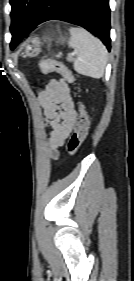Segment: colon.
<instances>
[{"instance_id": "obj_1", "label": "colon", "mask_w": 134, "mask_h": 281, "mask_svg": "<svg viewBox=\"0 0 134 281\" xmlns=\"http://www.w3.org/2000/svg\"><path fill=\"white\" fill-rule=\"evenodd\" d=\"M40 70L43 74L58 73L67 82L74 83V77L64 64L53 59H44L39 63ZM90 127L88 113L82 103L79 104V115L75 125L74 132L68 143V151L70 154H75L82 143L85 141Z\"/></svg>"}]
</instances>
